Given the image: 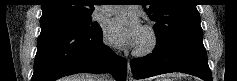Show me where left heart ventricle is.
Returning <instances> with one entry per match:
<instances>
[{
  "instance_id": "b2bd125f",
  "label": "left heart ventricle",
  "mask_w": 237,
  "mask_h": 81,
  "mask_svg": "<svg viewBox=\"0 0 237 81\" xmlns=\"http://www.w3.org/2000/svg\"><path fill=\"white\" fill-rule=\"evenodd\" d=\"M145 43H146V38H145V35L142 34V37H141L140 42L138 43L137 47H141V46H143Z\"/></svg>"
}]
</instances>
